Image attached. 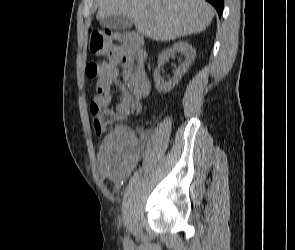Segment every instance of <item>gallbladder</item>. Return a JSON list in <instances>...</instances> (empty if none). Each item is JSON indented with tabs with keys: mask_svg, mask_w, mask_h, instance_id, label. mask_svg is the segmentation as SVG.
Masks as SVG:
<instances>
[{
	"mask_svg": "<svg viewBox=\"0 0 295 250\" xmlns=\"http://www.w3.org/2000/svg\"><path fill=\"white\" fill-rule=\"evenodd\" d=\"M133 20L128 15H111L100 20V25L111 30H124L133 26Z\"/></svg>",
	"mask_w": 295,
	"mask_h": 250,
	"instance_id": "gallbladder-1",
	"label": "gallbladder"
}]
</instances>
